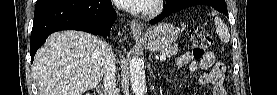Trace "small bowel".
<instances>
[{
  "label": "small bowel",
  "instance_id": "c3829d8e",
  "mask_svg": "<svg viewBox=\"0 0 277 95\" xmlns=\"http://www.w3.org/2000/svg\"><path fill=\"white\" fill-rule=\"evenodd\" d=\"M179 66L189 65L191 69H200L199 81L201 84H212L213 95H225L223 87V67L216 62L213 52L206 51L200 58H193L190 52H185L177 59Z\"/></svg>",
  "mask_w": 277,
  "mask_h": 95
}]
</instances>
